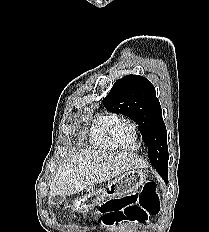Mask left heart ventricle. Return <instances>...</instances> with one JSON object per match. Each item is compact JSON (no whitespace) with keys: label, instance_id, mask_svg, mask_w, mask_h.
<instances>
[{"label":"left heart ventricle","instance_id":"left-heart-ventricle-1","mask_svg":"<svg viewBox=\"0 0 209 232\" xmlns=\"http://www.w3.org/2000/svg\"><path fill=\"white\" fill-rule=\"evenodd\" d=\"M115 134L123 146L126 148L134 147L133 133L129 125L119 124L115 128Z\"/></svg>","mask_w":209,"mask_h":232}]
</instances>
